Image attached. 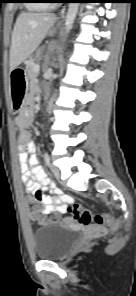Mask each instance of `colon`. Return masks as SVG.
I'll list each match as a JSON object with an SVG mask.
<instances>
[{
	"label": "colon",
	"mask_w": 136,
	"mask_h": 296,
	"mask_svg": "<svg viewBox=\"0 0 136 296\" xmlns=\"http://www.w3.org/2000/svg\"><path fill=\"white\" fill-rule=\"evenodd\" d=\"M39 196V195H38ZM38 196L30 198L26 201V208L29 214L36 218L40 224L57 223L60 221V216L53 215L45 218L40 214L41 201ZM67 213L82 225L95 224L99 227L116 228L117 225L113 216L110 213L93 214L89 209L85 208L80 203L71 202L67 207Z\"/></svg>",
	"instance_id": "colon-1"
}]
</instances>
